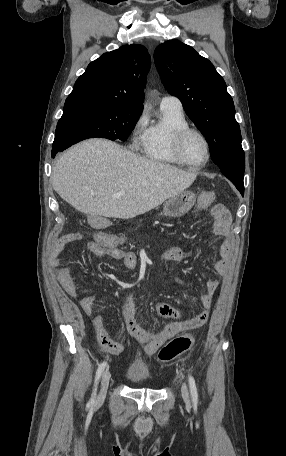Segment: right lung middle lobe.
Here are the masks:
<instances>
[{
    "instance_id": "1",
    "label": "right lung middle lobe",
    "mask_w": 286,
    "mask_h": 456,
    "mask_svg": "<svg viewBox=\"0 0 286 456\" xmlns=\"http://www.w3.org/2000/svg\"><path fill=\"white\" fill-rule=\"evenodd\" d=\"M142 110L87 99L66 100L53 146L62 151L93 137L125 141Z\"/></svg>"
}]
</instances>
